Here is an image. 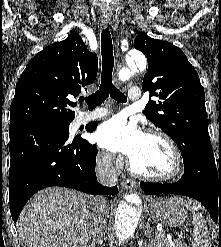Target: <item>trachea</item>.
I'll return each mask as SVG.
<instances>
[{
	"mask_svg": "<svg viewBox=\"0 0 221 247\" xmlns=\"http://www.w3.org/2000/svg\"><path fill=\"white\" fill-rule=\"evenodd\" d=\"M101 54L102 74L99 89L89 97L80 99V102L86 101L89 109H94L101 105L109 95L118 102H127V97L112 83L114 56L111 34L108 27L101 33Z\"/></svg>",
	"mask_w": 221,
	"mask_h": 247,
	"instance_id": "trachea-1",
	"label": "trachea"
}]
</instances>
